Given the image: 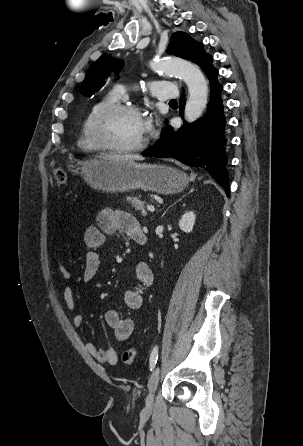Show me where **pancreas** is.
Masks as SVG:
<instances>
[{
	"mask_svg": "<svg viewBox=\"0 0 303 446\" xmlns=\"http://www.w3.org/2000/svg\"><path fill=\"white\" fill-rule=\"evenodd\" d=\"M126 200H127V202H129L131 205H132V207L136 210V211H141V214L143 215V216H145L146 215V211H145V209H144V204H145V202L144 201H141V199H140V196L139 197H132V196H128L127 198H126Z\"/></svg>",
	"mask_w": 303,
	"mask_h": 446,
	"instance_id": "1",
	"label": "pancreas"
}]
</instances>
